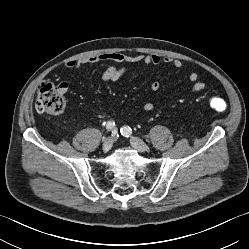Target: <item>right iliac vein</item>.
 Masks as SVG:
<instances>
[{
    "mask_svg": "<svg viewBox=\"0 0 249 249\" xmlns=\"http://www.w3.org/2000/svg\"><path fill=\"white\" fill-rule=\"evenodd\" d=\"M112 145H113L112 137L106 138L103 143V150L106 152L109 151L112 148Z\"/></svg>",
    "mask_w": 249,
    "mask_h": 249,
    "instance_id": "1",
    "label": "right iliac vein"
}]
</instances>
